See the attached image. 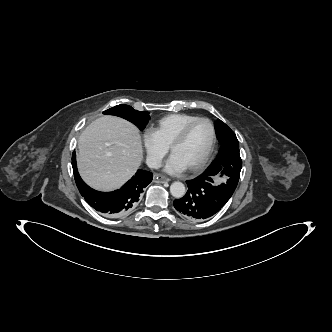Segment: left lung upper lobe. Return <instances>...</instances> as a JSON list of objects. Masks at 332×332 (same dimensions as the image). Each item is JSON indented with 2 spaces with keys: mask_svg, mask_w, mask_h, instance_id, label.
Wrapping results in <instances>:
<instances>
[{
  "mask_svg": "<svg viewBox=\"0 0 332 332\" xmlns=\"http://www.w3.org/2000/svg\"><path fill=\"white\" fill-rule=\"evenodd\" d=\"M215 130L218 140L222 143L217 159L201 174V176L209 182L213 183L212 177L221 171V176H226L225 183L215 186L221 192L228 196H232L235 191L242 167V161L239 155L234 151L239 148V142L235 133L220 119L215 123ZM217 168H219L217 170Z\"/></svg>",
  "mask_w": 332,
  "mask_h": 332,
  "instance_id": "obj_1",
  "label": "left lung upper lobe"
}]
</instances>
